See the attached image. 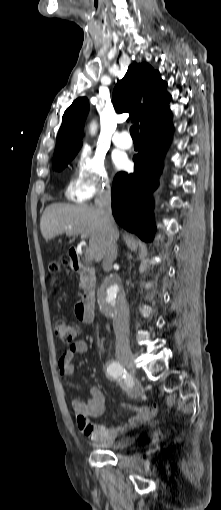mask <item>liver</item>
Masks as SVG:
<instances>
[{
  "instance_id": "1",
  "label": "liver",
  "mask_w": 221,
  "mask_h": 510,
  "mask_svg": "<svg viewBox=\"0 0 221 510\" xmlns=\"http://www.w3.org/2000/svg\"><path fill=\"white\" fill-rule=\"evenodd\" d=\"M40 229L46 241L64 233L69 236L86 233L89 238V248L94 252L95 261L100 262L104 258L108 235L103 226L101 214L96 207L86 204L53 203L44 210Z\"/></svg>"
}]
</instances>
